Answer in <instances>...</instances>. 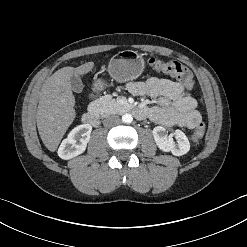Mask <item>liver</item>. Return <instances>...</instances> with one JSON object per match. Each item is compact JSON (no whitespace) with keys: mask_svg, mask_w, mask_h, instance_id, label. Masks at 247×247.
<instances>
[{"mask_svg":"<svg viewBox=\"0 0 247 247\" xmlns=\"http://www.w3.org/2000/svg\"><path fill=\"white\" fill-rule=\"evenodd\" d=\"M94 67V62L73 67H63L46 79L37 108V128L45 147L54 152L76 117L75 97L71 88L72 75H84Z\"/></svg>","mask_w":247,"mask_h":247,"instance_id":"6515ba94","label":"liver"}]
</instances>
